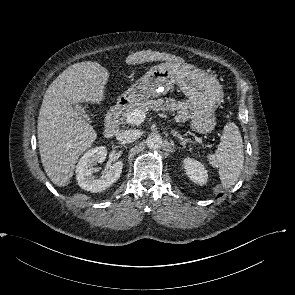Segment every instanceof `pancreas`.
<instances>
[{"mask_svg":"<svg viewBox=\"0 0 295 295\" xmlns=\"http://www.w3.org/2000/svg\"><path fill=\"white\" fill-rule=\"evenodd\" d=\"M135 110H141L145 113L149 111H163L174 113L177 112V119L179 121H187L190 118L191 105L185 101H176L174 98L144 100L131 105L124 113L123 118L126 119Z\"/></svg>","mask_w":295,"mask_h":295,"instance_id":"cf45deb5","label":"pancreas"}]
</instances>
